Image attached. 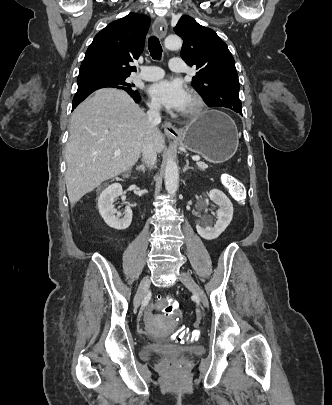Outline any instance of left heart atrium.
<instances>
[{
    "label": "left heart atrium",
    "instance_id": "obj_1",
    "mask_svg": "<svg viewBox=\"0 0 332 405\" xmlns=\"http://www.w3.org/2000/svg\"><path fill=\"white\" fill-rule=\"evenodd\" d=\"M150 96L167 109L183 111L187 105L189 94L179 80H161L148 88Z\"/></svg>",
    "mask_w": 332,
    "mask_h": 405
}]
</instances>
